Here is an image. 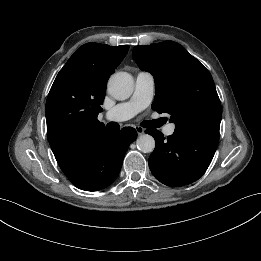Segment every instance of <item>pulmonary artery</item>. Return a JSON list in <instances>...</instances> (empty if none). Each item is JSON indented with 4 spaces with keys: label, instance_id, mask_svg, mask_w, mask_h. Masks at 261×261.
Instances as JSON below:
<instances>
[{
    "label": "pulmonary artery",
    "instance_id": "e3ab8cb5",
    "mask_svg": "<svg viewBox=\"0 0 261 261\" xmlns=\"http://www.w3.org/2000/svg\"><path fill=\"white\" fill-rule=\"evenodd\" d=\"M155 88L154 77L151 73L141 71L136 75L135 88L132 97L115 105L106 112L105 118L109 121L122 122L128 120L146 108L153 99ZM175 131L173 123L168 124L164 133L168 136Z\"/></svg>",
    "mask_w": 261,
    "mask_h": 261
}]
</instances>
